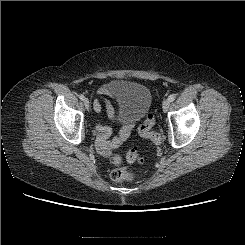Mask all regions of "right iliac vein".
<instances>
[{
	"instance_id": "63e3f726",
	"label": "right iliac vein",
	"mask_w": 245,
	"mask_h": 245,
	"mask_svg": "<svg viewBox=\"0 0 245 245\" xmlns=\"http://www.w3.org/2000/svg\"><path fill=\"white\" fill-rule=\"evenodd\" d=\"M83 103H84L85 108H86V109H89L90 103H89V100H88L87 98H85V99L83 100Z\"/></svg>"
}]
</instances>
